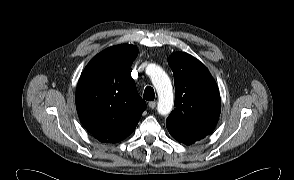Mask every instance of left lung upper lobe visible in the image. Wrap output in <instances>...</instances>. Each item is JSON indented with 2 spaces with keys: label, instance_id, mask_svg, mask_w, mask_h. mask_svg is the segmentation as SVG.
<instances>
[{
  "label": "left lung upper lobe",
  "instance_id": "left-lung-upper-lobe-1",
  "mask_svg": "<svg viewBox=\"0 0 294 180\" xmlns=\"http://www.w3.org/2000/svg\"><path fill=\"white\" fill-rule=\"evenodd\" d=\"M174 74L175 109L166 120L169 132L205 137L214 130L221 111L220 94L208 69L195 57L170 56Z\"/></svg>",
  "mask_w": 294,
  "mask_h": 180
}]
</instances>
